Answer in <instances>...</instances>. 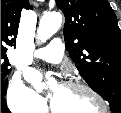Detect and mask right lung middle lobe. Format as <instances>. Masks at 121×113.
<instances>
[{
	"mask_svg": "<svg viewBox=\"0 0 121 113\" xmlns=\"http://www.w3.org/2000/svg\"><path fill=\"white\" fill-rule=\"evenodd\" d=\"M8 58L6 52H1V96L4 95L7 87V75L10 73L11 69L9 66Z\"/></svg>",
	"mask_w": 121,
	"mask_h": 113,
	"instance_id": "1",
	"label": "right lung middle lobe"
}]
</instances>
